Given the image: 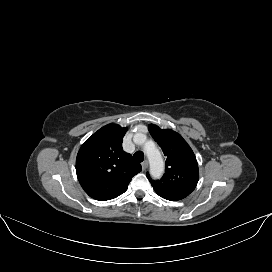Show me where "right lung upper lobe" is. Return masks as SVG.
<instances>
[{
    "label": "right lung upper lobe",
    "mask_w": 272,
    "mask_h": 272,
    "mask_svg": "<svg viewBox=\"0 0 272 272\" xmlns=\"http://www.w3.org/2000/svg\"><path fill=\"white\" fill-rule=\"evenodd\" d=\"M127 128L108 124L95 132L79 149L76 173L84 191L105 201L124 193L132 177L141 171L132 156L122 149Z\"/></svg>",
    "instance_id": "1"
}]
</instances>
